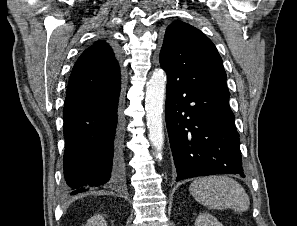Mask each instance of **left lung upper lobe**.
<instances>
[{"label": "left lung upper lobe", "instance_id": "5c2ea615", "mask_svg": "<svg viewBox=\"0 0 297 226\" xmlns=\"http://www.w3.org/2000/svg\"><path fill=\"white\" fill-rule=\"evenodd\" d=\"M160 65L167 77L199 90H228L222 59L197 28L175 21L165 32Z\"/></svg>", "mask_w": 297, "mask_h": 226}]
</instances>
